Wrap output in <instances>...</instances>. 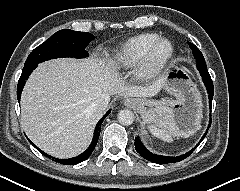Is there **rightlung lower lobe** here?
Returning <instances> with one entry per match:
<instances>
[{"instance_id":"right-lung-lower-lobe-1","label":"right lung lower lobe","mask_w":240,"mask_h":191,"mask_svg":"<svg viewBox=\"0 0 240 191\" xmlns=\"http://www.w3.org/2000/svg\"><path fill=\"white\" fill-rule=\"evenodd\" d=\"M37 67V65H33V66H28L26 68H23L22 70V74L20 76L19 82H18V86H17V99L18 102H20V97H21V93L23 90V87L25 85L26 80L28 79L29 75L32 73V71ZM111 112V110H109L104 116L103 118L97 123L96 128H95V132H94V137L93 140L90 144V146L88 147V149L83 152L82 154H80L79 156L73 157V158H69V159H58V158H54L51 157L50 155L44 153L43 151H41L38 147H36L31 141V143L33 144V146L38 149V151H40L44 156L48 157L49 159H52L60 164H65V165H73V164H78L80 162H83L84 160L88 159L89 156L91 155V153L93 152V150L95 149V146L97 144L99 135H100V126L102 121L104 120V118L106 116H108V114Z\"/></svg>"}]
</instances>
